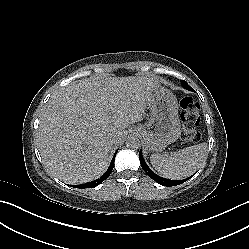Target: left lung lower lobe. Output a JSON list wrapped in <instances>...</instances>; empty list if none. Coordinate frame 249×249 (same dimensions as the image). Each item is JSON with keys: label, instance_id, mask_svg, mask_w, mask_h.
<instances>
[{"label": "left lung lower lobe", "instance_id": "0a47b994", "mask_svg": "<svg viewBox=\"0 0 249 249\" xmlns=\"http://www.w3.org/2000/svg\"><path fill=\"white\" fill-rule=\"evenodd\" d=\"M139 158H140V163H141V166L143 168V170L147 173V175L149 177H151L154 181H156L157 183L163 185V186H173V185H178V184H181L183 183L184 181L186 180H182V181H173V180H168V179H165V178H162L158 175H156L155 173H153L149 168L148 166L146 165L143 157H142V154H141V151L139 153Z\"/></svg>", "mask_w": 249, "mask_h": 249}]
</instances>
